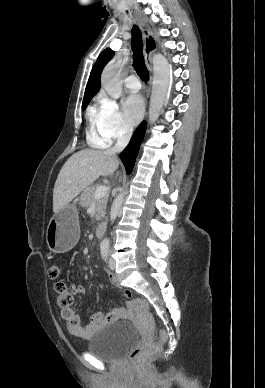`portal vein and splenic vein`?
Instances as JSON below:
<instances>
[{
    "label": "portal vein and splenic vein",
    "instance_id": "18ae733b",
    "mask_svg": "<svg viewBox=\"0 0 265 388\" xmlns=\"http://www.w3.org/2000/svg\"><path fill=\"white\" fill-rule=\"evenodd\" d=\"M90 170H93V168H90ZM108 192V188L106 186H99V188H96L94 198H104Z\"/></svg>",
    "mask_w": 265,
    "mask_h": 388
}]
</instances>
